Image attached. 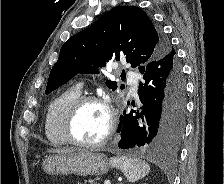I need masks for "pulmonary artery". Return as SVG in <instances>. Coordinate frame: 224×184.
<instances>
[{
  "label": "pulmonary artery",
  "instance_id": "pulmonary-artery-1",
  "mask_svg": "<svg viewBox=\"0 0 224 184\" xmlns=\"http://www.w3.org/2000/svg\"><path fill=\"white\" fill-rule=\"evenodd\" d=\"M128 77L130 80H132V73L128 72ZM130 86H131V89H132V92L135 94L138 90V83L136 81H130Z\"/></svg>",
  "mask_w": 224,
  "mask_h": 184
}]
</instances>
